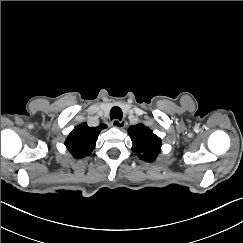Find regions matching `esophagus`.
<instances>
[{
    "instance_id": "34e87169",
    "label": "esophagus",
    "mask_w": 243,
    "mask_h": 243,
    "mask_svg": "<svg viewBox=\"0 0 243 243\" xmlns=\"http://www.w3.org/2000/svg\"><path fill=\"white\" fill-rule=\"evenodd\" d=\"M112 126L115 127V128H119V129H122L125 127V121L123 120H118V119H114L112 121Z\"/></svg>"
}]
</instances>
